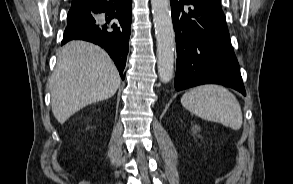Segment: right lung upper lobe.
<instances>
[{"mask_svg":"<svg viewBox=\"0 0 293 184\" xmlns=\"http://www.w3.org/2000/svg\"><path fill=\"white\" fill-rule=\"evenodd\" d=\"M82 1H88V2H90V1H93V0H72V5L73 4H77V3H81Z\"/></svg>","mask_w":293,"mask_h":184,"instance_id":"obj_1","label":"right lung upper lobe"}]
</instances>
